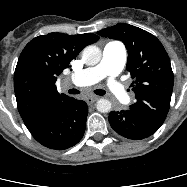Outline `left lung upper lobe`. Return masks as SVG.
Returning <instances> with one entry per match:
<instances>
[{
    "label": "left lung upper lobe",
    "mask_w": 187,
    "mask_h": 187,
    "mask_svg": "<svg viewBox=\"0 0 187 187\" xmlns=\"http://www.w3.org/2000/svg\"><path fill=\"white\" fill-rule=\"evenodd\" d=\"M103 37L122 41L128 50L127 70L137 101L130 111L162 125L171 101L173 72L161 42L151 33L125 23L97 32Z\"/></svg>",
    "instance_id": "1"
}]
</instances>
